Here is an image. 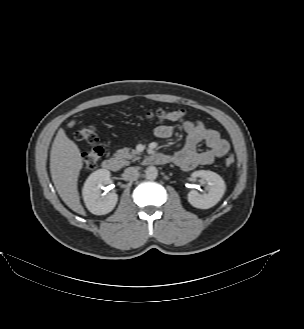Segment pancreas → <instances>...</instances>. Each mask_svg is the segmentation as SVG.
<instances>
[{
	"label": "pancreas",
	"mask_w": 304,
	"mask_h": 329,
	"mask_svg": "<svg viewBox=\"0 0 304 329\" xmlns=\"http://www.w3.org/2000/svg\"><path fill=\"white\" fill-rule=\"evenodd\" d=\"M114 156L122 165H128L130 163L129 160L136 161L141 158L136 150L128 148L117 150Z\"/></svg>",
	"instance_id": "cf45deb5"
}]
</instances>
